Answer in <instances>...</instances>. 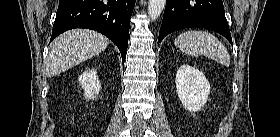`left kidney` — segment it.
Returning <instances> with one entry per match:
<instances>
[{
	"mask_svg": "<svg viewBox=\"0 0 280 137\" xmlns=\"http://www.w3.org/2000/svg\"><path fill=\"white\" fill-rule=\"evenodd\" d=\"M175 83L183 107L190 112L200 111L210 93V84L205 75L195 67L184 64L177 70Z\"/></svg>",
	"mask_w": 280,
	"mask_h": 137,
	"instance_id": "1",
	"label": "left kidney"
}]
</instances>
